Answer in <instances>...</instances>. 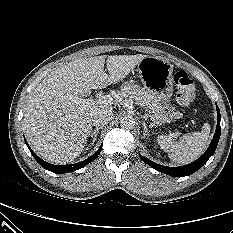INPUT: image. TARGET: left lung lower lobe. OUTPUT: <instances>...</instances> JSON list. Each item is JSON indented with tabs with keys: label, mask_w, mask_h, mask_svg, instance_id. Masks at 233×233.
<instances>
[{
	"label": "left lung lower lobe",
	"mask_w": 233,
	"mask_h": 233,
	"mask_svg": "<svg viewBox=\"0 0 233 233\" xmlns=\"http://www.w3.org/2000/svg\"><path fill=\"white\" fill-rule=\"evenodd\" d=\"M216 109H217V127H216V131H215L213 140L211 141L206 152L199 159H197L196 161H194L190 164H187L185 166H180V167L162 166V165L156 164V163L144 158L143 156H141L142 161H144L145 163L150 165L155 170L162 172L164 174L173 176V177L189 176V175L193 174L194 172H196L214 154L216 147L218 145V141H219L220 134H221V127H220L221 116H220V111H219V108L217 105H216Z\"/></svg>",
	"instance_id": "1"
}]
</instances>
